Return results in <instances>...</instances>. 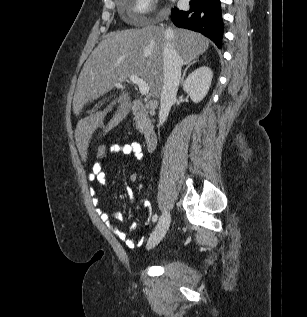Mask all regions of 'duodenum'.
Instances as JSON below:
<instances>
[{
	"label": "duodenum",
	"mask_w": 307,
	"mask_h": 317,
	"mask_svg": "<svg viewBox=\"0 0 307 317\" xmlns=\"http://www.w3.org/2000/svg\"><path fill=\"white\" fill-rule=\"evenodd\" d=\"M131 111L139 119L147 149H153L156 144L157 135L147 107L141 101L135 100L132 102Z\"/></svg>",
	"instance_id": "duodenum-1"
}]
</instances>
